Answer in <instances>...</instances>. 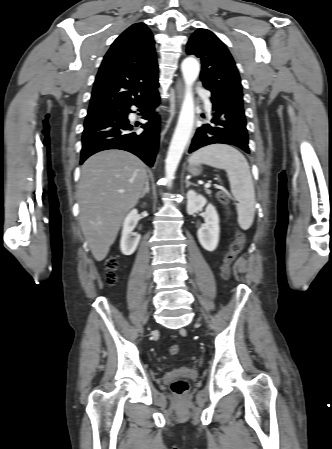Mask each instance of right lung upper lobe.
<instances>
[{"label":"right lung upper lobe","mask_w":332,"mask_h":449,"mask_svg":"<svg viewBox=\"0 0 332 449\" xmlns=\"http://www.w3.org/2000/svg\"><path fill=\"white\" fill-rule=\"evenodd\" d=\"M153 35L143 23L126 29L111 45L96 76L88 114L125 106L158 88Z\"/></svg>","instance_id":"1"}]
</instances>
